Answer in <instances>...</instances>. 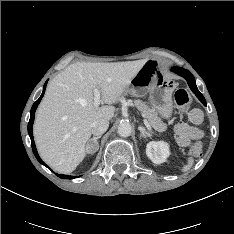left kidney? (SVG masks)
<instances>
[{
  "instance_id": "5707ae66",
  "label": "left kidney",
  "mask_w": 234,
  "mask_h": 234,
  "mask_svg": "<svg viewBox=\"0 0 234 234\" xmlns=\"http://www.w3.org/2000/svg\"><path fill=\"white\" fill-rule=\"evenodd\" d=\"M146 154L153 163L161 164L170 155L169 145L163 141H151L146 146Z\"/></svg>"
}]
</instances>
